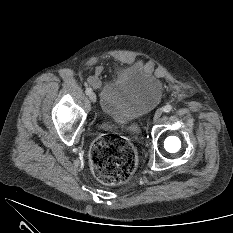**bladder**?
<instances>
[{"label": "bladder", "instance_id": "1", "mask_svg": "<svg viewBox=\"0 0 233 233\" xmlns=\"http://www.w3.org/2000/svg\"><path fill=\"white\" fill-rule=\"evenodd\" d=\"M163 96L160 79L134 64L119 70L116 77L100 87L101 111L116 122H129L155 108Z\"/></svg>", "mask_w": 233, "mask_h": 233}]
</instances>
